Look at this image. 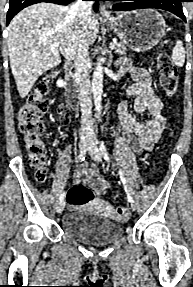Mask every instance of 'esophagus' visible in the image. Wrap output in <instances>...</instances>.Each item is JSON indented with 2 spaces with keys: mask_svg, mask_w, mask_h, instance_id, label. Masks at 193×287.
Listing matches in <instances>:
<instances>
[{
  "mask_svg": "<svg viewBox=\"0 0 193 287\" xmlns=\"http://www.w3.org/2000/svg\"><path fill=\"white\" fill-rule=\"evenodd\" d=\"M100 14H101V17L105 20L111 18V15H110L109 11L106 9L105 5H101Z\"/></svg>",
  "mask_w": 193,
  "mask_h": 287,
  "instance_id": "esophagus-1",
  "label": "esophagus"
}]
</instances>
